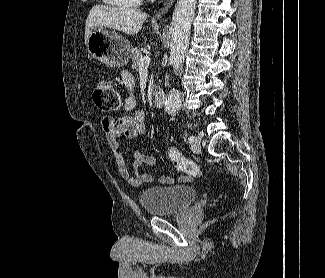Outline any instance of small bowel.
I'll return each instance as SVG.
<instances>
[{"label": "small bowel", "mask_w": 325, "mask_h": 278, "mask_svg": "<svg viewBox=\"0 0 325 278\" xmlns=\"http://www.w3.org/2000/svg\"><path fill=\"white\" fill-rule=\"evenodd\" d=\"M121 80L129 90V94L125 98L122 108L125 112L132 113L118 119L104 117L102 119V128L107 142L116 154L120 175L131 185L139 187L154 181V177L151 174L141 173L140 169L144 166H155L158 161L156 157L144 154L137 147H134L135 162L132 170H130L121 155V138L133 144L146 131V113L141 109H135L136 97L133 93L134 79L129 72L124 71L121 74ZM181 180H185V177H182ZM159 182L162 184H171L173 178L161 176Z\"/></svg>", "instance_id": "small-bowel-1"}]
</instances>
